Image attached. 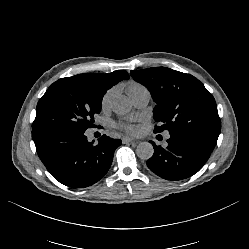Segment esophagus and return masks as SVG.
<instances>
[{
	"mask_svg": "<svg viewBox=\"0 0 249 249\" xmlns=\"http://www.w3.org/2000/svg\"><path fill=\"white\" fill-rule=\"evenodd\" d=\"M132 141H133V139L131 137H128V136H124L122 138V142H124V143H130Z\"/></svg>",
	"mask_w": 249,
	"mask_h": 249,
	"instance_id": "34e87169",
	"label": "esophagus"
}]
</instances>
